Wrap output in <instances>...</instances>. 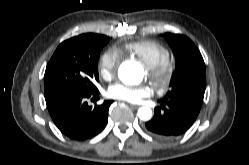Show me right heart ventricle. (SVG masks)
<instances>
[{
  "label": "right heart ventricle",
  "instance_id": "obj_1",
  "mask_svg": "<svg viewBox=\"0 0 249 165\" xmlns=\"http://www.w3.org/2000/svg\"><path fill=\"white\" fill-rule=\"evenodd\" d=\"M126 51L140 59L147 66H154L170 58L169 49L155 40H140L124 45Z\"/></svg>",
  "mask_w": 249,
  "mask_h": 165
}]
</instances>
